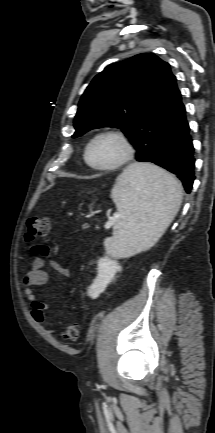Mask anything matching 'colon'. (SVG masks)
Returning a JSON list of instances; mask_svg holds the SVG:
<instances>
[{
    "mask_svg": "<svg viewBox=\"0 0 215 433\" xmlns=\"http://www.w3.org/2000/svg\"><path fill=\"white\" fill-rule=\"evenodd\" d=\"M51 228V221L48 217H32L28 220L25 234L28 242L38 239H45ZM80 335V326L76 323L68 324L63 329V337L66 340H76Z\"/></svg>",
    "mask_w": 215,
    "mask_h": 433,
    "instance_id": "colon-1",
    "label": "colon"
}]
</instances>
